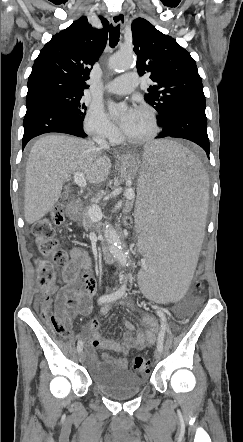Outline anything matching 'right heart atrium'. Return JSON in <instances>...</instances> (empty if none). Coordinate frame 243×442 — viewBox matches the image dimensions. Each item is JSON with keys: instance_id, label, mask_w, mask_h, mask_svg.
<instances>
[{"instance_id": "1", "label": "right heart atrium", "mask_w": 243, "mask_h": 442, "mask_svg": "<svg viewBox=\"0 0 243 442\" xmlns=\"http://www.w3.org/2000/svg\"><path fill=\"white\" fill-rule=\"evenodd\" d=\"M84 129L89 135L108 141H115L118 138L116 127L98 106H91L88 109L84 118Z\"/></svg>"}]
</instances>
